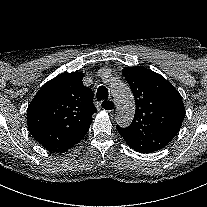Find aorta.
Wrapping results in <instances>:
<instances>
[{
    "mask_svg": "<svg viewBox=\"0 0 207 207\" xmlns=\"http://www.w3.org/2000/svg\"><path fill=\"white\" fill-rule=\"evenodd\" d=\"M110 87L117 105L116 122L121 127H127L131 124L135 113L134 96L130 87L120 80H113Z\"/></svg>",
    "mask_w": 207,
    "mask_h": 207,
    "instance_id": "obj_1",
    "label": "aorta"
}]
</instances>
